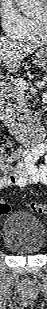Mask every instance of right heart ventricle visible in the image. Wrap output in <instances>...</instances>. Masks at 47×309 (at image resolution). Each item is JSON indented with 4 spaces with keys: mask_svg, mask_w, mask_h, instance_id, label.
<instances>
[{
    "mask_svg": "<svg viewBox=\"0 0 47 309\" xmlns=\"http://www.w3.org/2000/svg\"><path fill=\"white\" fill-rule=\"evenodd\" d=\"M26 22L27 30L21 40L30 44L42 43L45 40V37L42 35L41 30L37 26L35 19L26 18Z\"/></svg>",
    "mask_w": 47,
    "mask_h": 309,
    "instance_id": "right-heart-ventricle-1",
    "label": "right heart ventricle"
}]
</instances>
